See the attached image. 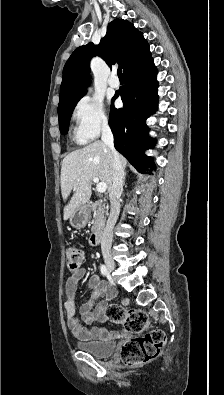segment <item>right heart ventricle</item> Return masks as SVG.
Here are the masks:
<instances>
[{
  "label": "right heart ventricle",
  "mask_w": 224,
  "mask_h": 395,
  "mask_svg": "<svg viewBox=\"0 0 224 395\" xmlns=\"http://www.w3.org/2000/svg\"><path fill=\"white\" fill-rule=\"evenodd\" d=\"M76 136H77V135H76ZM77 139H78L79 141H86V140H83V139L79 138L78 136H77Z\"/></svg>",
  "instance_id": "obj_1"
}]
</instances>
